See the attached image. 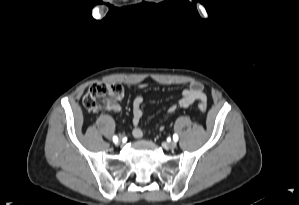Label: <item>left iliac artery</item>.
Listing matches in <instances>:
<instances>
[{
    "label": "left iliac artery",
    "instance_id": "obj_1",
    "mask_svg": "<svg viewBox=\"0 0 299 205\" xmlns=\"http://www.w3.org/2000/svg\"><path fill=\"white\" fill-rule=\"evenodd\" d=\"M173 140H174V141H178V135H177V134H174V135H173Z\"/></svg>",
    "mask_w": 299,
    "mask_h": 205
}]
</instances>
